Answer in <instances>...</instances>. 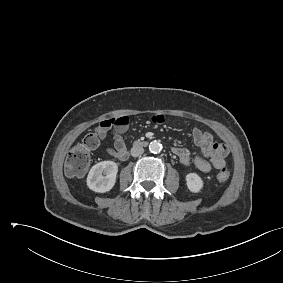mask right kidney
I'll list each match as a JSON object with an SVG mask.
<instances>
[{
	"mask_svg": "<svg viewBox=\"0 0 283 283\" xmlns=\"http://www.w3.org/2000/svg\"><path fill=\"white\" fill-rule=\"evenodd\" d=\"M117 172L118 166L115 162H99L90 169L87 176V186L98 193L108 192L115 185Z\"/></svg>",
	"mask_w": 283,
	"mask_h": 283,
	"instance_id": "obj_1",
	"label": "right kidney"
}]
</instances>
